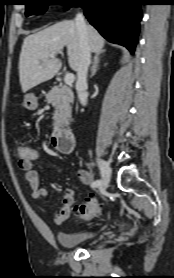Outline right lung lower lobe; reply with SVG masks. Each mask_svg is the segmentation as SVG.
<instances>
[{
    "instance_id": "98d812e1",
    "label": "right lung lower lobe",
    "mask_w": 174,
    "mask_h": 278,
    "mask_svg": "<svg viewBox=\"0 0 174 278\" xmlns=\"http://www.w3.org/2000/svg\"><path fill=\"white\" fill-rule=\"evenodd\" d=\"M141 0H78L89 22L112 43L134 53L142 19Z\"/></svg>"
}]
</instances>
